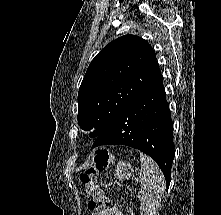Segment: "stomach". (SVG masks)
<instances>
[{
    "label": "stomach",
    "instance_id": "stomach-1",
    "mask_svg": "<svg viewBox=\"0 0 221 215\" xmlns=\"http://www.w3.org/2000/svg\"><path fill=\"white\" fill-rule=\"evenodd\" d=\"M133 174L134 169L129 162L118 161L114 174L115 178L122 182L124 180L130 179L133 176ZM105 186H110V184H106Z\"/></svg>",
    "mask_w": 221,
    "mask_h": 215
}]
</instances>
